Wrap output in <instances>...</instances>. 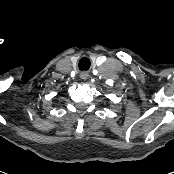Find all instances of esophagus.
Listing matches in <instances>:
<instances>
[{"instance_id":"34e87169","label":"esophagus","mask_w":174,"mask_h":174,"mask_svg":"<svg viewBox=\"0 0 174 174\" xmlns=\"http://www.w3.org/2000/svg\"><path fill=\"white\" fill-rule=\"evenodd\" d=\"M88 76L89 75L86 72L81 73V78L84 79V80H86L88 78Z\"/></svg>"}]
</instances>
